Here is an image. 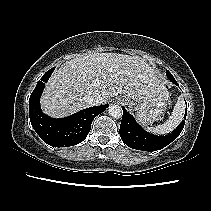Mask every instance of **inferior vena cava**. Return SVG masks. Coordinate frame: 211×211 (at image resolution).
I'll return each mask as SVG.
<instances>
[{
	"mask_svg": "<svg viewBox=\"0 0 211 211\" xmlns=\"http://www.w3.org/2000/svg\"><path fill=\"white\" fill-rule=\"evenodd\" d=\"M87 102L91 106L100 105V104H102L103 99H102L101 95L96 94V95H93L91 97H88Z\"/></svg>",
	"mask_w": 211,
	"mask_h": 211,
	"instance_id": "obj_1",
	"label": "inferior vena cava"
}]
</instances>
